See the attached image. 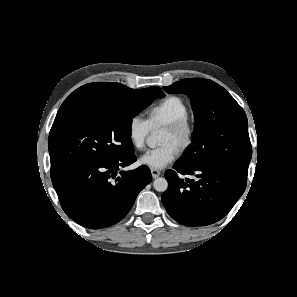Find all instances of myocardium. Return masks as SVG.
Masks as SVG:
<instances>
[{"label":"myocardium","mask_w":297,"mask_h":297,"mask_svg":"<svg viewBox=\"0 0 297 297\" xmlns=\"http://www.w3.org/2000/svg\"><path fill=\"white\" fill-rule=\"evenodd\" d=\"M165 129L178 137V147L181 150H185L191 145L194 137V126L188 116L165 125Z\"/></svg>","instance_id":"f54148a6"}]
</instances>
